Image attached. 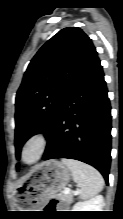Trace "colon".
Segmentation results:
<instances>
[{
  "label": "colon",
  "instance_id": "colon-1",
  "mask_svg": "<svg viewBox=\"0 0 123 219\" xmlns=\"http://www.w3.org/2000/svg\"><path fill=\"white\" fill-rule=\"evenodd\" d=\"M61 207H62L61 202L56 200V199L50 200V202L48 204L49 209H56V208H61Z\"/></svg>",
  "mask_w": 123,
  "mask_h": 219
}]
</instances>
